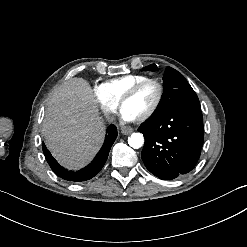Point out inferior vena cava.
Returning a JSON list of instances; mask_svg holds the SVG:
<instances>
[{
	"instance_id": "obj_1",
	"label": "inferior vena cava",
	"mask_w": 247,
	"mask_h": 247,
	"mask_svg": "<svg viewBox=\"0 0 247 247\" xmlns=\"http://www.w3.org/2000/svg\"><path fill=\"white\" fill-rule=\"evenodd\" d=\"M114 120H115V117H114V116H112V117L109 118V121H110V122H112V121H114Z\"/></svg>"
}]
</instances>
